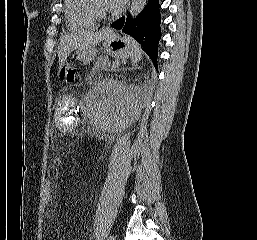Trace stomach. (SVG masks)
<instances>
[{
	"label": "stomach",
	"instance_id": "obj_1",
	"mask_svg": "<svg viewBox=\"0 0 257 240\" xmlns=\"http://www.w3.org/2000/svg\"><path fill=\"white\" fill-rule=\"evenodd\" d=\"M104 47L109 54L118 58H126L131 53L132 45L126 37H120L109 29L104 39ZM76 55L77 59L86 65L95 59L96 49L95 47L79 48Z\"/></svg>",
	"mask_w": 257,
	"mask_h": 240
}]
</instances>
